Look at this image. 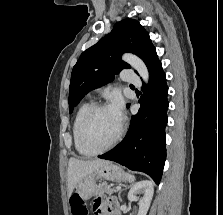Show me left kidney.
<instances>
[{"label": "left kidney", "instance_id": "1", "mask_svg": "<svg viewBox=\"0 0 223 215\" xmlns=\"http://www.w3.org/2000/svg\"><path fill=\"white\" fill-rule=\"evenodd\" d=\"M137 193H144L142 199H139L138 215H146L154 193L152 181H148V179H143V181H137L135 185H132L128 193L129 201H137Z\"/></svg>", "mask_w": 223, "mask_h": 215}]
</instances>
